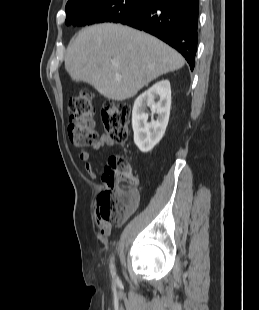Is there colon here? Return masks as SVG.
Instances as JSON below:
<instances>
[{"instance_id": "colon-1", "label": "colon", "mask_w": 259, "mask_h": 310, "mask_svg": "<svg viewBox=\"0 0 259 310\" xmlns=\"http://www.w3.org/2000/svg\"><path fill=\"white\" fill-rule=\"evenodd\" d=\"M68 135L78 147H95L98 135L95 131V108L93 95L81 91L69 100ZM131 108L122 102H107L102 107V119L107 136L114 142H123L128 134ZM104 189L96 199V214L105 225H120L138 204L135 190L137 179L132 175L130 165L123 156H111L102 174Z\"/></svg>"}]
</instances>
